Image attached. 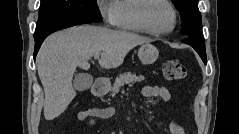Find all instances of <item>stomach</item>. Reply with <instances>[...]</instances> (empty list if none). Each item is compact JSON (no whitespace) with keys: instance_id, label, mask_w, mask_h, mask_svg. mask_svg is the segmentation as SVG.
Returning <instances> with one entry per match:
<instances>
[{"instance_id":"0dacf381","label":"stomach","mask_w":239,"mask_h":134,"mask_svg":"<svg viewBox=\"0 0 239 134\" xmlns=\"http://www.w3.org/2000/svg\"><path fill=\"white\" fill-rule=\"evenodd\" d=\"M159 56L157 48L151 43H145L140 46L138 50V57L141 62L145 65L153 64ZM108 84L105 87V90H108Z\"/></svg>"}]
</instances>
